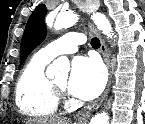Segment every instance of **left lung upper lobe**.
Instances as JSON below:
<instances>
[{
  "label": "left lung upper lobe",
  "mask_w": 145,
  "mask_h": 124,
  "mask_svg": "<svg viewBox=\"0 0 145 124\" xmlns=\"http://www.w3.org/2000/svg\"><path fill=\"white\" fill-rule=\"evenodd\" d=\"M46 13V6L40 4L30 16L21 41L20 62H23L30 52L44 40L47 33L44 23Z\"/></svg>",
  "instance_id": "1"
}]
</instances>
